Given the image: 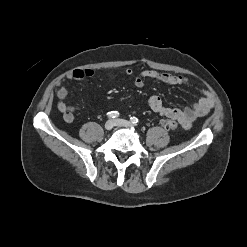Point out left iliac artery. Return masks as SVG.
<instances>
[{"mask_svg":"<svg viewBox=\"0 0 247 247\" xmlns=\"http://www.w3.org/2000/svg\"><path fill=\"white\" fill-rule=\"evenodd\" d=\"M131 122L134 123V124H137L139 122V119L136 118V117H131L130 118Z\"/></svg>","mask_w":247,"mask_h":247,"instance_id":"left-iliac-artery-1","label":"left iliac artery"}]
</instances>
